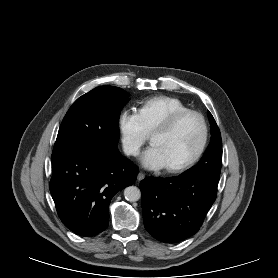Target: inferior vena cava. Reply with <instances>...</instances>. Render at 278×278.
Instances as JSON below:
<instances>
[{
  "instance_id": "1",
  "label": "inferior vena cava",
  "mask_w": 278,
  "mask_h": 278,
  "mask_svg": "<svg viewBox=\"0 0 278 278\" xmlns=\"http://www.w3.org/2000/svg\"><path fill=\"white\" fill-rule=\"evenodd\" d=\"M136 148L135 147H129V146H124V152L125 154L127 155H130V154H133L135 155L136 154Z\"/></svg>"
}]
</instances>
